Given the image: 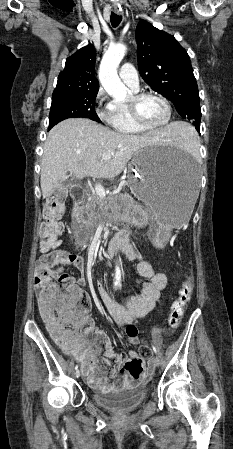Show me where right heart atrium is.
I'll return each mask as SVG.
<instances>
[{"mask_svg": "<svg viewBox=\"0 0 233 449\" xmlns=\"http://www.w3.org/2000/svg\"><path fill=\"white\" fill-rule=\"evenodd\" d=\"M107 99L106 91L103 87H100L95 96V102L98 107V116L101 119H108L112 110V102L104 103Z\"/></svg>", "mask_w": 233, "mask_h": 449, "instance_id": "obj_1", "label": "right heart atrium"}]
</instances>
